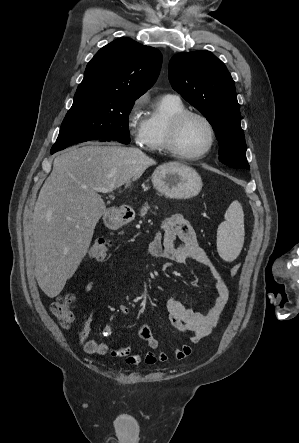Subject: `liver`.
I'll return each instance as SVG.
<instances>
[{"label": "liver", "instance_id": "liver-1", "mask_svg": "<svg viewBox=\"0 0 299 443\" xmlns=\"http://www.w3.org/2000/svg\"><path fill=\"white\" fill-rule=\"evenodd\" d=\"M155 164L140 149L117 145L73 147L55 158L32 219L35 276L48 297L73 276L106 212L94 188H127Z\"/></svg>", "mask_w": 299, "mask_h": 443}]
</instances>
